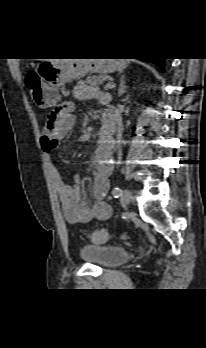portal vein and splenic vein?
Here are the masks:
<instances>
[{"mask_svg":"<svg viewBox=\"0 0 206 348\" xmlns=\"http://www.w3.org/2000/svg\"><path fill=\"white\" fill-rule=\"evenodd\" d=\"M115 86H116L115 83H108V84L105 85V89H112V88H114Z\"/></svg>","mask_w":206,"mask_h":348,"instance_id":"obj_1","label":"portal vein and splenic vein"}]
</instances>
